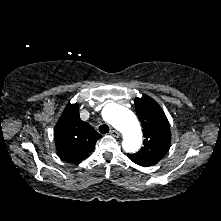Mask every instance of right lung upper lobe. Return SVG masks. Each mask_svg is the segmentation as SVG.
Returning <instances> with one entry per match:
<instances>
[{"label":"right lung upper lobe","mask_w":221,"mask_h":221,"mask_svg":"<svg viewBox=\"0 0 221 221\" xmlns=\"http://www.w3.org/2000/svg\"><path fill=\"white\" fill-rule=\"evenodd\" d=\"M101 138L93 127L79 117L77 104H69L54 128L57 155L65 162L79 163Z\"/></svg>","instance_id":"1"}]
</instances>
